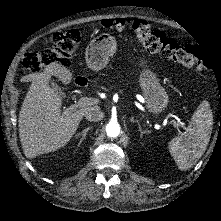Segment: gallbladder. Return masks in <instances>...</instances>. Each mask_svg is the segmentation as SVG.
Instances as JSON below:
<instances>
[{
    "instance_id": "bac80fb5",
    "label": "gallbladder",
    "mask_w": 221,
    "mask_h": 221,
    "mask_svg": "<svg viewBox=\"0 0 221 221\" xmlns=\"http://www.w3.org/2000/svg\"><path fill=\"white\" fill-rule=\"evenodd\" d=\"M48 87L52 92H54L58 97L64 98V93L62 92L61 88L57 84V82L53 79H49L48 81Z\"/></svg>"
}]
</instances>
